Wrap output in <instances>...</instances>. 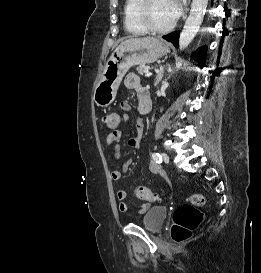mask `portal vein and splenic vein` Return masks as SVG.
<instances>
[{"mask_svg":"<svg viewBox=\"0 0 261 273\" xmlns=\"http://www.w3.org/2000/svg\"><path fill=\"white\" fill-rule=\"evenodd\" d=\"M151 75H152V73L149 72V71L145 73V76H146V77H150Z\"/></svg>","mask_w":261,"mask_h":273,"instance_id":"1","label":"portal vein and splenic vein"}]
</instances>
